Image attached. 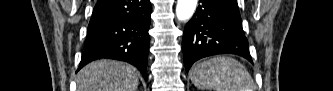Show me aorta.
<instances>
[{
	"label": "aorta",
	"mask_w": 333,
	"mask_h": 91,
	"mask_svg": "<svg viewBox=\"0 0 333 91\" xmlns=\"http://www.w3.org/2000/svg\"><path fill=\"white\" fill-rule=\"evenodd\" d=\"M197 0H178L176 6V15L178 20H189L196 10Z\"/></svg>",
	"instance_id": "1"
}]
</instances>
